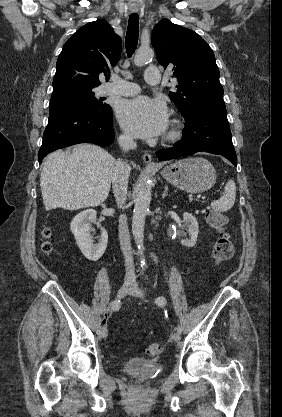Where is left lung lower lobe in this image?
Returning a JSON list of instances; mask_svg holds the SVG:
<instances>
[{"label":"left lung lower lobe","instance_id":"left-lung-lower-lobe-1","mask_svg":"<svg viewBox=\"0 0 282 417\" xmlns=\"http://www.w3.org/2000/svg\"><path fill=\"white\" fill-rule=\"evenodd\" d=\"M183 138L173 148L156 153L160 161L208 152L222 155L237 165L231 132L222 100H202L193 104L184 117Z\"/></svg>","mask_w":282,"mask_h":417}]
</instances>
